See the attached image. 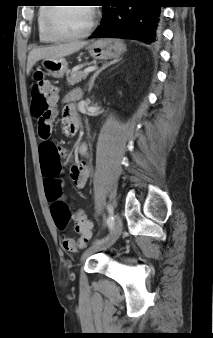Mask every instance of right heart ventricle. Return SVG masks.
Listing matches in <instances>:
<instances>
[{
	"label": "right heart ventricle",
	"mask_w": 213,
	"mask_h": 338,
	"mask_svg": "<svg viewBox=\"0 0 213 338\" xmlns=\"http://www.w3.org/2000/svg\"><path fill=\"white\" fill-rule=\"evenodd\" d=\"M41 5H48V4H41ZM49 9V6H39L38 12H37V29H38V36L41 42L44 43H51L55 40L52 39L47 35L44 29V21L46 13Z\"/></svg>",
	"instance_id": "obj_1"
}]
</instances>
